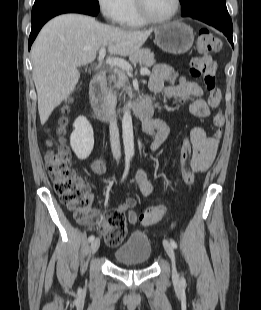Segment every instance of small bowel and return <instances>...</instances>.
I'll use <instances>...</instances> for the list:
<instances>
[{"instance_id":"small-bowel-1","label":"small bowel","mask_w":261,"mask_h":310,"mask_svg":"<svg viewBox=\"0 0 261 310\" xmlns=\"http://www.w3.org/2000/svg\"><path fill=\"white\" fill-rule=\"evenodd\" d=\"M150 86L155 93L179 102L189 103L190 112L197 117H206L210 112L208 104L203 99L202 88L192 81L177 80L176 74L168 65H160L154 70ZM143 130L150 136L152 151L157 150L165 142L169 133L168 126L161 120H151L148 130L144 127ZM184 141H188L192 147L190 170L195 173L205 171L217 154L219 139L207 136L201 127H194L190 132V138ZM89 168L93 176L101 175L106 171L105 161L102 158L95 159L90 162ZM135 183L139 191L146 196L154 192V186L143 170L137 172ZM135 204L134 199H129L120 204L115 211L126 213L129 223L136 224L138 217L132 209Z\"/></svg>"}]
</instances>
